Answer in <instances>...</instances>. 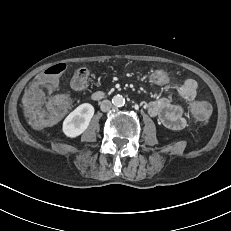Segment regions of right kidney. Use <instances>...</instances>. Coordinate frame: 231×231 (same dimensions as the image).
Masks as SVG:
<instances>
[{
  "label": "right kidney",
  "mask_w": 231,
  "mask_h": 231,
  "mask_svg": "<svg viewBox=\"0 0 231 231\" xmlns=\"http://www.w3.org/2000/svg\"><path fill=\"white\" fill-rule=\"evenodd\" d=\"M94 115V107L89 103L79 105L63 121V133L70 138L81 135L89 126Z\"/></svg>",
  "instance_id": "1"
}]
</instances>
